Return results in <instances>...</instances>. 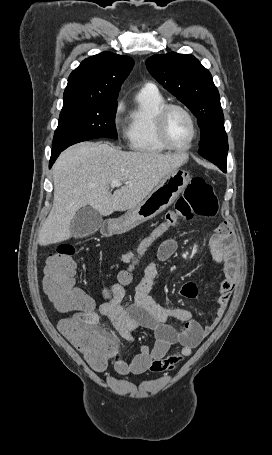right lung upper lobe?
Instances as JSON below:
<instances>
[{"label": "right lung upper lobe", "instance_id": "obj_1", "mask_svg": "<svg viewBox=\"0 0 272 455\" xmlns=\"http://www.w3.org/2000/svg\"><path fill=\"white\" fill-rule=\"evenodd\" d=\"M133 64L131 57L112 52L85 59L68 78L64 104L117 101L120 87Z\"/></svg>", "mask_w": 272, "mask_h": 455}]
</instances>
